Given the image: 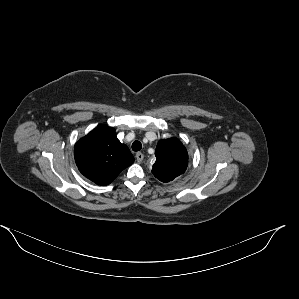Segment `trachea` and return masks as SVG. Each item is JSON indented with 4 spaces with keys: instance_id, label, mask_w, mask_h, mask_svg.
I'll return each mask as SVG.
<instances>
[{
    "instance_id": "trachea-1",
    "label": "trachea",
    "mask_w": 299,
    "mask_h": 299,
    "mask_svg": "<svg viewBox=\"0 0 299 299\" xmlns=\"http://www.w3.org/2000/svg\"><path fill=\"white\" fill-rule=\"evenodd\" d=\"M142 148V144L140 141L136 140L132 143V150L137 152V151H140Z\"/></svg>"
}]
</instances>
